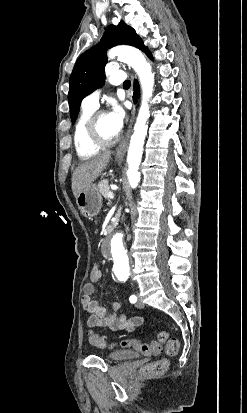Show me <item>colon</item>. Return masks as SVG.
<instances>
[{
	"instance_id": "colon-1",
	"label": "colon",
	"mask_w": 247,
	"mask_h": 413,
	"mask_svg": "<svg viewBox=\"0 0 247 413\" xmlns=\"http://www.w3.org/2000/svg\"><path fill=\"white\" fill-rule=\"evenodd\" d=\"M92 274L98 276L101 274V265L99 263H94L92 265ZM89 342L96 346H106L113 347L114 344H105L103 340L93 331L87 333ZM151 343H146L138 339H127L121 342V345L131 347L136 351H139L146 355H152L153 351L159 354L163 346H165L167 355H178L179 354V341L176 338H170L168 332L160 331L156 336H152L150 339ZM156 345L153 348L152 346ZM168 368V360L166 358H161L151 364H148L143 369V374L148 376H154L161 374Z\"/></svg>"
}]
</instances>
